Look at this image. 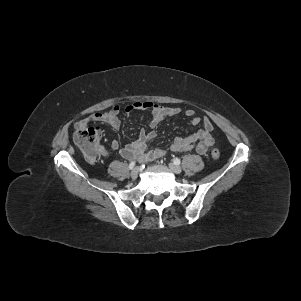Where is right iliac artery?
Masks as SVG:
<instances>
[{
  "label": "right iliac artery",
  "instance_id": "right-iliac-artery-1",
  "mask_svg": "<svg viewBox=\"0 0 301 301\" xmlns=\"http://www.w3.org/2000/svg\"><path fill=\"white\" fill-rule=\"evenodd\" d=\"M136 162L135 161H132L130 164H129V169L132 170L135 166Z\"/></svg>",
  "mask_w": 301,
  "mask_h": 301
}]
</instances>
